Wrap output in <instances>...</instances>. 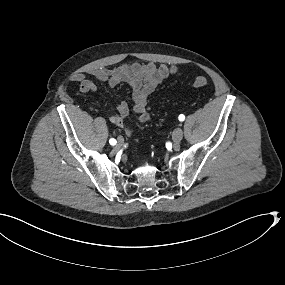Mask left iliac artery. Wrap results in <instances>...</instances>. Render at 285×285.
Returning a JSON list of instances; mask_svg holds the SVG:
<instances>
[{
    "label": "left iliac artery",
    "instance_id": "obj_1",
    "mask_svg": "<svg viewBox=\"0 0 285 285\" xmlns=\"http://www.w3.org/2000/svg\"><path fill=\"white\" fill-rule=\"evenodd\" d=\"M178 119H179L180 121H184V120H185V116H184L183 114H181V115H179Z\"/></svg>",
    "mask_w": 285,
    "mask_h": 285
}]
</instances>
